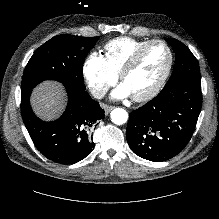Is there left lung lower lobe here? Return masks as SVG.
Listing matches in <instances>:
<instances>
[{"instance_id":"1","label":"left lung lower lobe","mask_w":219,"mask_h":219,"mask_svg":"<svg viewBox=\"0 0 219 219\" xmlns=\"http://www.w3.org/2000/svg\"><path fill=\"white\" fill-rule=\"evenodd\" d=\"M202 105L201 79L185 77L132 111L126 130L132 151L161 162L179 154L194 132Z\"/></svg>"}]
</instances>
